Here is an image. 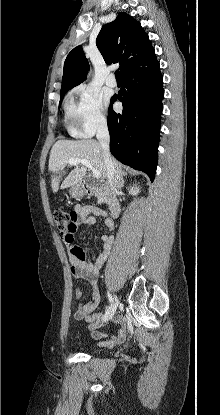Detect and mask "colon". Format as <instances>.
<instances>
[{"mask_svg":"<svg viewBox=\"0 0 220 415\" xmlns=\"http://www.w3.org/2000/svg\"><path fill=\"white\" fill-rule=\"evenodd\" d=\"M53 219L60 232L68 231L71 233L69 227L75 220V215L72 212L60 209L55 210L53 213Z\"/></svg>","mask_w":220,"mask_h":415,"instance_id":"colon-1","label":"colon"}]
</instances>
